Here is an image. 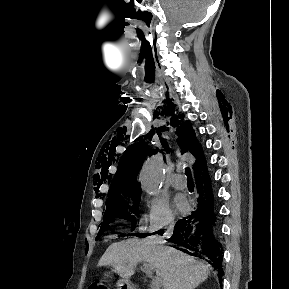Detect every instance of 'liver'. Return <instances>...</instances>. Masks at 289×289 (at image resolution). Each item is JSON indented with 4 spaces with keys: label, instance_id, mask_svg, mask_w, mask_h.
<instances>
[{
    "label": "liver",
    "instance_id": "6515ba94",
    "mask_svg": "<svg viewBox=\"0 0 289 289\" xmlns=\"http://www.w3.org/2000/svg\"><path fill=\"white\" fill-rule=\"evenodd\" d=\"M139 262L154 268L161 286L168 283L170 289H194L208 278L211 268L175 248L136 238L111 244L98 265L111 266L119 276L129 279Z\"/></svg>",
    "mask_w": 289,
    "mask_h": 289
}]
</instances>
